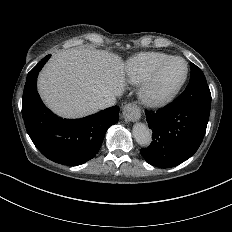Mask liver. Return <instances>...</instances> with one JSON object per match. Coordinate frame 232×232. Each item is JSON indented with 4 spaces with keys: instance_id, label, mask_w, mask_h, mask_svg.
<instances>
[{
    "instance_id": "liver-1",
    "label": "liver",
    "mask_w": 232,
    "mask_h": 232,
    "mask_svg": "<svg viewBox=\"0 0 232 232\" xmlns=\"http://www.w3.org/2000/svg\"><path fill=\"white\" fill-rule=\"evenodd\" d=\"M120 60L104 51L72 48L56 53L39 77V92L55 112L77 117L96 111L93 103L122 91Z\"/></svg>"
}]
</instances>
